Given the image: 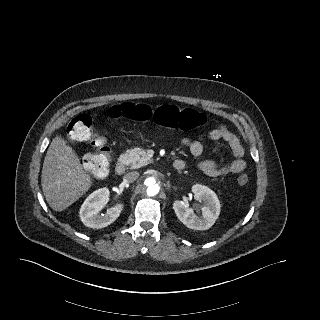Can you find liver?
<instances>
[{
    "label": "liver",
    "mask_w": 320,
    "mask_h": 320,
    "mask_svg": "<svg viewBox=\"0 0 320 320\" xmlns=\"http://www.w3.org/2000/svg\"><path fill=\"white\" fill-rule=\"evenodd\" d=\"M92 185L90 176L76 153L61 137H55L44 158L41 186L54 211H63L86 193Z\"/></svg>",
    "instance_id": "liver-1"
}]
</instances>
